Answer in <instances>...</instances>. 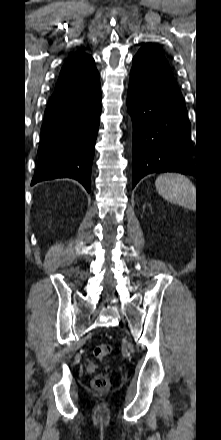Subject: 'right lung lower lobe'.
<instances>
[{
	"instance_id": "1",
	"label": "right lung lower lobe",
	"mask_w": 221,
	"mask_h": 440,
	"mask_svg": "<svg viewBox=\"0 0 221 440\" xmlns=\"http://www.w3.org/2000/svg\"><path fill=\"white\" fill-rule=\"evenodd\" d=\"M100 114L99 79L85 86L54 91L45 110L32 185L67 177L79 181L90 192Z\"/></svg>"
}]
</instances>
